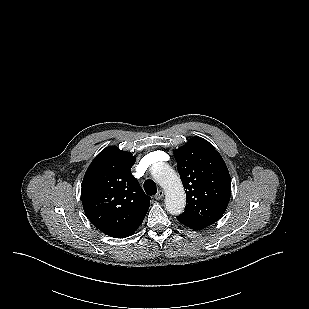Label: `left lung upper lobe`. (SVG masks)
<instances>
[{
    "label": "left lung upper lobe",
    "instance_id": "left-lung-upper-lobe-1",
    "mask_svg": "<svg viewBox=\"0 0 309 309\" xmlns=\"http://www.w3.org/2000/svg\"><path fill=\"white\" fill-rule=\"evenodd\" d=\"M174 155L186 189L185 211L178 217L212 225L224 214L231 195V178L224 160L201 137L191 138Z\"/></svg>",
    "mask_w": 309,
    "mask_h": 309
}]
</instances>
